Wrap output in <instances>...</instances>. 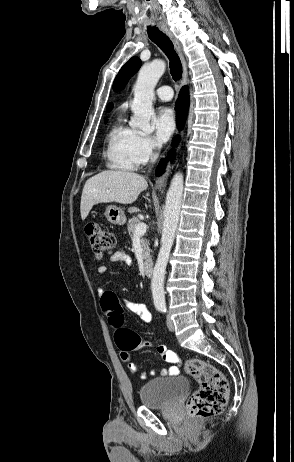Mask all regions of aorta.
Instances as JSON below:
<instances>
[{
  "mask_svg": "<svg viewBox=\"0 0 294 462\" xmlns=\"http://www.w3.org/2000/svg\"><path fill=\"white\" fill-rule=\"evenodd\" d=\"M165 69L166 64L162 60H154L150 64L144 65L139 71L133 88L134 100L131 109L134 115L130 121V125L146 134L152 132L150 119L154 115L152 107L154 88L160 77L164 74ZM183 188V175L182 173H176L171 180L166 194L161 247L151 280L153 302L156 308L165 307V272L179 223Z\"/></svg>",
  "mask_w": 294,
  "mask_h": 462,
  "instance_id": "1",
  "label": "aorta"
}]
</instances>
